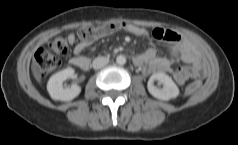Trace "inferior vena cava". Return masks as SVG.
I'll return each instance as SVG.
<instances>
[{
	"label": "inferior vena cava",
	"instance_id": "602c4592",
	"mask_svg": "<svg viewBox=\"0 0 238 145\" xmlns=\"http://www.w3.org/2000/svg\"><path fill=\"white\" fill-rule=\"evenodd\" d=\"M109 63L107 57H97L93 60L92 66L95 70L100 69Z\"/></svg>",
	"mask_w": 238,
	"mask_h": 145
}]
</instances>
